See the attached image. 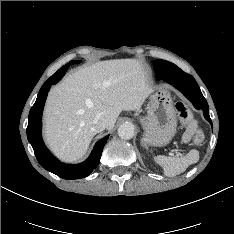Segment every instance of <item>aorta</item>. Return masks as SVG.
Segmentation results:
<instances>
[{
	"mask_svg": "<svg viewBox=\"0 0 234 234\" xmlns=\"http://www.w3.org/2000/svg\"><path fill=\"white\" fill-rule=\"evenodd\" d=\"M118 135L121 139L129 140L134 136V127L132 124L125 123L118 128Z\"/></svg>",
	"mask_w": 234,
	"mask_h": 234,
	"instance_id": "obj_1",
	"label": "aorta"
}]
</instances>
